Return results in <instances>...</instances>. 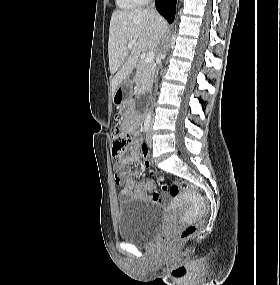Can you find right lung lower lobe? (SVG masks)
<instances>
[{"mask_svg": "<svg viewBox=\"0 0 280 285\" xmlns=\"http://www.w3.org/2000/svg\"><path fill=\"white\" fill-rule=\"evenodd\" d=\"M176 0H156V9L165 19L172 23L175 17Z\"/></svg>", "mask_w": 280, "mask_h": 285, "instance_id": "98d812e1", "label": "right lung lower lobe"}]
</instances>
